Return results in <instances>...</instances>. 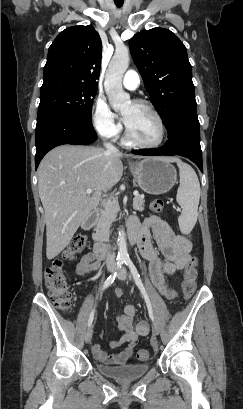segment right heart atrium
I'll return each mask as SVG.
<instances>
[{"instance_id":"obj_1","label":"right heart atrium","mask_w":243,"mask_h":409,"mask_svg":"<svg viewBox=\"0 0 243 409\" xmlns=\"http://www.w3.org/2000/svg\"><path fill=\"white\" fill-rule=\"evenodd\" d=\"M92 123L97 133L105 138H116L121 131V126L117 123L107 102L101 97H97L94 101Z\"/></svg>"}]
</instances>
